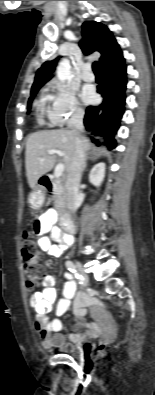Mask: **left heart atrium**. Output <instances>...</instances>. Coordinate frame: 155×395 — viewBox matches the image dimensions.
Returning a JSON list of instances; mask_svg holds the SVG:
<instances>
[{
    "instance_id": "obj_1",
    "label": "left heart atrium",
    "mask_w": 155,
    "mask_h": 395,
    "mask_svg": "<svg viewBox=\"0 0 155 395\" xmlns=\"http://www.w3.org/2000/svg\"><path fill=\"white\" fill-rule=\"evenodd\" d=\"M82 99L89 103L94 99V92L91 88H85L82 92Z\"/></svg>"
}]
</instances>
